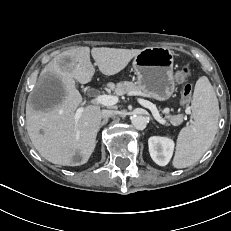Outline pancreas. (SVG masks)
I'll return each mask as SVG.
<instances>
[{"instance_id": "cf45deb5", "label": "pancreas", "mask_w": 231, "mask_h": 231, "mask_svg": "<svg viewBox=\"0 0 231 231\" xmlns=\"http://www.w3.org/2000/svg\"><path fill=\"white\" fill-rule=\"evenodd\" d=\"M111 89L114 91L115 94L119 96H123L125 94L130 95H139L142 91L136 83L124 81L117 83L116 85L112 86ZM172 125H179L182 121V117L180 115L176 116H168L167 117Z\"/></svg>"}]
</instances>
